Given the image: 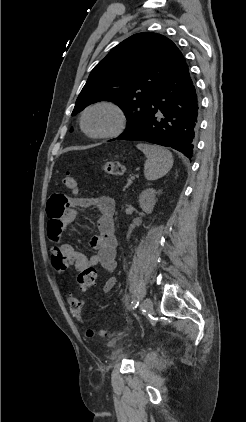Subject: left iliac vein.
<instances>
[{"mask_svg":"<svg viewBox=\"0 0 246 422\" xmlns=\"http://www.w3.org/2000/svg\"><path fill=\"white\" fill-rule=\"evenodd\" d=\"M153 307V303L152 300L150 298H145L144 301L142 302V310L145 314H148L149 312H151Z\"/></svg>","mask_w":246,"mask_h":422,"instance_id":"1","label":"left iliac vein"}]
</instances>
